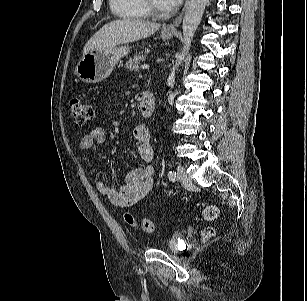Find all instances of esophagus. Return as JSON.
Wrapping results in <instances>:
<instances>
[{
    "mask_svg": "<svg viewBox=\"0 0 307 301\" xmlns=\"http://www.w3.org/2000/svg\"><path fill=\"white\" fill-rule=\"evenodd\" d=\"M188 3H189V1L186 0L185 5H184V8H183V10L181 11V13L179 14V16H178L172 23L166 25L165 28H164L165 30L171 31V32H173V31L176 30V28L178 27V25H179V24L181 23V21H182L183 14H184V11H185V9H186Z\"/></svg>",
    "mask_w": 307,
    "mask_h": 301,
    "instance_id": "34e87169",
    "label": "esophagus"
}]
</instances>
